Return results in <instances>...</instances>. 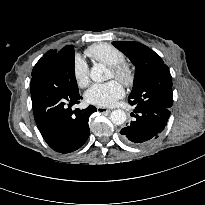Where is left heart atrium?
Returning a JSON list of instances; mask_svg holds the SVG:
<instances>
[{
	"mask_svg": "<svg viewBox=\"0 0 205 205\" xmlns=\"http://www.w3.org/2000/svg\"><path fill=\"white\" fill-rule=\"evenodd\" d=\"M124 96L122 84L112 80L102 84H94L85 93V100L94 106L112 107Z\"/></svg>",
	"mask_w": 205,
	"mask_h": 205,
	"instance_id": "left-heart-atrium-1",
	"label": "left heart atrium"
}]
</instances>
